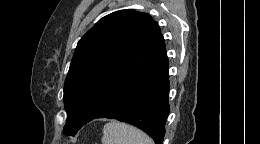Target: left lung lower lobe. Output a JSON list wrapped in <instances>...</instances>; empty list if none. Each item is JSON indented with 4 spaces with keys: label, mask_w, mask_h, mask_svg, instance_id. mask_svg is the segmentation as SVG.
Listing matches in <instances>:
<instances>
[{
    "label": "left lung lower lobe",
    "mask_w": 260,
    "mask_h": 144,
    "mask_svg": "<svg viewBox=\"0 0 260 144\" xmlns=\"http://www.w3.org/2000/svg\"><path fill=\"white\" fill-rule=\"evenodd\" d=\"M163 57L167 58L166 50L131 72L94 119L129 123L147 133L155 144H163L170 111L169 80L157 66Z\"/></svg>",
    "instance_id": "obj_1"
}]
</instances>
